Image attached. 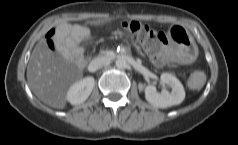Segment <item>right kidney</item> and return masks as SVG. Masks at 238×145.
I'll list each match as a JSON object with an SVG mask.
<instances>
[{"mask_svg": "<svg viewBox=\"0 0 238 145\" xmlns=\"http://www.w3.org/2000/svg\"><path fill=\"white\" fill-rule=\"evenodd\" d=\"M95 85L93 77H85L74 83L68 90L66 98L72 105H79L87 100Z\"/></svg>", "mask_w": 238, "mask_h": 145, "instance_id": "obj_1", "label": "right kidney"}]
</instances>
